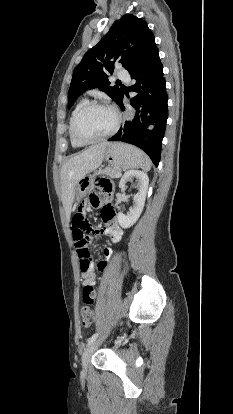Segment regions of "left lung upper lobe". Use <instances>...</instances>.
I'll return each instance as SVG.
<instances>
[{
  "mask_svg": "<svg viewBox=\"0 0 233 414\" xmlns=\"http://www.w3.org/2000/svg\"><path fill=\"white\" fill-rule=\"evenodd\" d=\"M158 51L155 37L147 23L128 14L117 20L101 41L87 51L73 71L68 91V108L86 90L98 87L117 104L123 97L118 86H110L109 75L115 63L133 74Z\"/></svg>",
  "mask_w": 233,
  "mask_h": 414,
  "instance_id": "obj_1",
  "label": "left lung upper lobe"
}]
</instances>
